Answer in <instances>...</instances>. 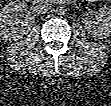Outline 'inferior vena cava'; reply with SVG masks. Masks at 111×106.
Here are the masks:
<instances>
[{
  "instance_id": "obj_1",
  "label": "inferior vena cava",
  "mask_w": 111,
  "mask_h": 106,
  "mask_svg": "<svg viewBox=\"0 0 111 106\" xmlns=\"http://www.w3.org/2000/svg\"><path fill=\"white\" fill-rule=\"evenodd\" d=\"M36 8H37V11L40 13V14H45V13H47L48 11H49V7L46 5V4H44L42 1L41 2H39V4L36 6Z\"/></svg>"
}]
</instances>
